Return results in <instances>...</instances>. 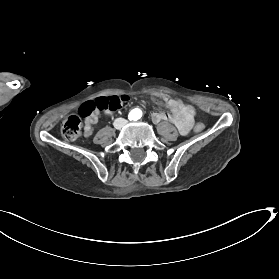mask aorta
<instances>
[{"instance_id":"1","label":"aorta","mask_w":279,"mask_h":279,"mask_svg":"<svg viewBox=\"0 0 279 279\" xmlns=\"http://www.w3.org/2000/svg\"><path fill=\"white\" fill-rule=\"evenodd\" d=\"M132 118H137L141 115V111L139 109H134L130 112Z\"/></svg>"}]
</instances>
